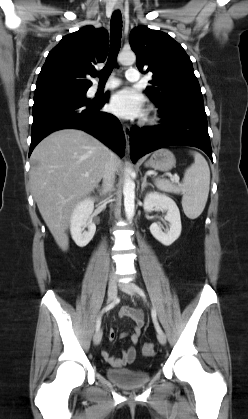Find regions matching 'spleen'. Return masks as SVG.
I'll list each match as a JSON object with an SVG mask.
<instances>
[{
	"mask_svg": "<svg viewBox=\"0 0 248 419\" xmlns=\"http://www.w3.org/2000/svg\"><path fill=\"white\" fill-rule=\"evenodd\" d=\"M194 163L186 169L181 184L175 185L168 180L157 178V188L166 192L181 193L185 215L196 219L203 212L210 185V169L205 158L198 152H192Z\"/></svg>",
	"mask_w": 248,
	"mask_h": 419,
	"instance_id": "obj_1",
	"label": "spleen"
}]
</instances>
